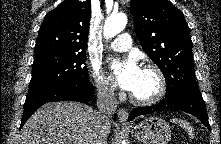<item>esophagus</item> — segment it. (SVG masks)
<instances>
[{
  "label": "esophagus",
  "instance_id": "34e87169",
  "mask_svg": "<svg viewBox=\"0 0 221 144\" xmlns=\"http://www.w3.org/2000/svg\"><path fill=\"white\" fill-rule=\"evenodd\" d=\"M118 118H119V122L121 124H127V120H128V112L126 109L124 108H120L118 111Z\"/></svg>",
  "mask_w": 221,
  "mask_h": 144
}]
</instances>
